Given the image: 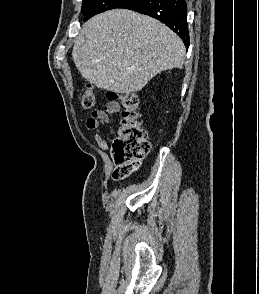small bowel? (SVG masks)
I'll return each instance as SVG.
<instances>
[{
  "label": "small bowel",
  "instance_id": "obj_1",
  "mask_svg": "<svg viewBox=\"0 0 259 294\" xmlns=\"http://www.w3.org/2000/svg\"><path fill=\"white\" fill-rule=\"evenodd\" d=\"M120 104L116 101H109L103 109L94 111L87 119L86 127L94 131V141L102 150H106L108 143L104 138L101 126L109 121L111 114L120 112Z\"/></svg>",
  "mask_w": 259,
  "mask_h": 294
}]
</instances>
